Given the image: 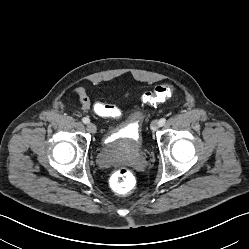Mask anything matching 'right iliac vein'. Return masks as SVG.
I'll list each match as a JSON object with an SVG mask.
<instances>
[{"mask_svg": "<svg viewBox=\"0 0 249 249\" xmlns=\"http://www.w3.org/2000/svg\"><path fill=\"white\" fill-rule=\"evenodd\" d=\"M87 130L88 132L95 134L97 132V127L93 123H88Z\"/></svg>", "mask_w": 249, "mask_h": 249, "instance_id": "right-iliac-vein-1", "label": "right iliac vein"}]
</instances>
